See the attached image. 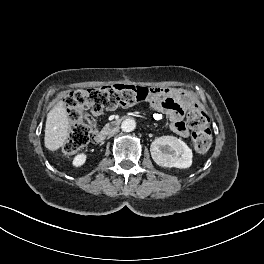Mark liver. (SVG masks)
<instances>
[{"mask_svg": "<svg viewBox=\"0 0 264 264\" xmlns=\"http://www.w3.org/2000/svg\"><path fill=\"white\" fill-rule=\"evenodd\" d=\"M68 116L63 101H59L47 114L44 144L49 151L58 150L68 137Z\"/></svg>", "mask_w": 264, "mask_h": 264, "instance_id": "1", "label": "liver"}]
</instances>
